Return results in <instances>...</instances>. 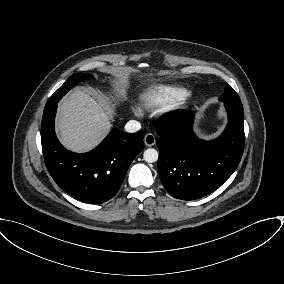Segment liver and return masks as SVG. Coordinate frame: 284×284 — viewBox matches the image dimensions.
Segmentation results:
<instances>
[{
    "label": "liver",
    "mask_w": 284,
    "mask_h": 284,
    "mask_svg": "<svg viewBox=\"0 0 284 284\" xmlns=\"http://www.w3.org/2000/svg\"><path fill=\"white\" fill-rule=\"evenodd\" d=\"M57 131L69 150L84 153L96 147L111 129L100 103L83 91H74L58 104Z\"/></svg>",
    "instance_id": "1"
}]
</instances>
